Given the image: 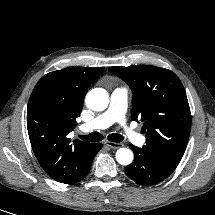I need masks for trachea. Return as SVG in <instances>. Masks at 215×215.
<instances>
[{"instance_id": "3493384b", "label": "trachea", "mask_w": 215, "mask_h": 215, "mask_svg": "<svg viewBox=\"0 0 215 215\" xmlns=\"http://www.w3.org/2000/svg\"><path fill=\"white\" fill-rule=\"evenodd\" d=\"M79 138L87 142H99L103 139V136L98 132H93L88 135H80ZM123 139L124 137L120 134L112 133L108 135V140L112 142L119 143L123 141Z\"/></svg>"}]
</instances>
